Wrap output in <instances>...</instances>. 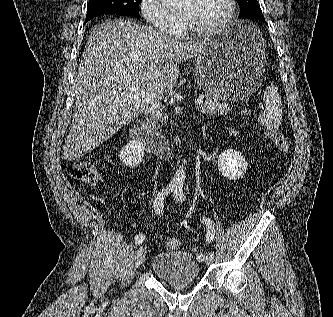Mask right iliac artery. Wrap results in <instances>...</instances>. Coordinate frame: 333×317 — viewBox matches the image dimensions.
Wrapping results in <instances>:
<instances>
[{
	"mask_svg": "<svg viewBox=\"0 0 333 317\" xmlns=\"http://www.w3.org/2000/svg\"><path fill=\"white\" fill-rule=\"evenodd\" d=\"M175 189V185L169 184L165 188L162 189L161 192H159L158 196L156 197L154 201V210L157 215H160L163 210V202L165 199V196H167L170 192H172ZM145 240V235L143 234H138L135 237V243L136 244H141Z\"/></svg>",
	"mask_w": 333,
	"mask_h": 317,
	"instance_id": "right-iliac-artery-1",
	"label": "right iliac artery"
}]
</instances>
